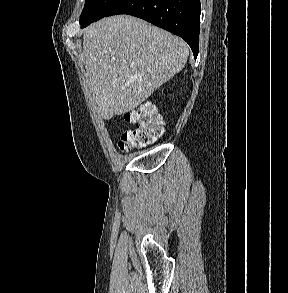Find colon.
Returning a JSON list of instances; mask_svg holds the SVG:
<instances>
[{
	"instance_id": "obj_1",
	"label": "colon",
	"mask_w": 288,
	"mask_h": 293,
	"mask_svg": "<svg viewBox=\"0 0 288 293\" xmlns=\"http://www.w3.org/2000/svg\"><path fill=\"white\" fill-rule=\"evenodd\" d=\"M124 119L133 124L125 131L118 142L122 152H129L155 142L163 134V123L157 110L143 104L124 114Z\"/></svg>"
}]
</instances>
